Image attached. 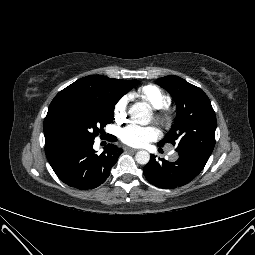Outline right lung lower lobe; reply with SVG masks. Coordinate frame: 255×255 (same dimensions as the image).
Instances as JSON below:
<instances>
[{"instance_id":"obj_1","label":"right lung lower lobe","mask_w":255,"mask_h":255,"mask_svg":"<svg viewBox=\"0 0 255 255\" xmlns=\"http://www.w3.org/2000/svg\"><path fill=\"white\" fill-rule=\"evenodd\" d=\"M110 136V141H115ZM91 139H61L45 145L47 159L56 175L65 184L81 189H94L105 182L110 170L123 152L113 144H108L97 155Z\"/></svg>"}]
</instances>
